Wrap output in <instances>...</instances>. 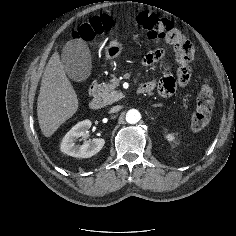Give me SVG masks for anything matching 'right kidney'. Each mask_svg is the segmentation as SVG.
I'll return each instance as SVG.
<instances>
[{
    "mask_svg": "<svg viewBox=\"0 0 236 236\" xmlns=\"http://www.w3.org/2000/svg\"><path fill=\"white\" fill-rule=\"evenodd\" d=\"M90 127V120L77 123L64 136L60 150L69 156L78 158H89L97 154L105 144V140L102 138H94L92 141L85 142L83 145H76L77 139L85 136Z\"/></svg>",
    "mask_w": 236,
    "mask_h": 236,
    "instance_id": "1",
    "label": "right kidney"
}]
</instances>
